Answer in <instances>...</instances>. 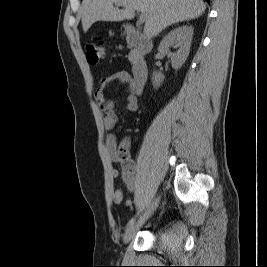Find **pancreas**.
<instances>
[{"label": "pancreas", "mask_w": 267, "mask_h": 267, "mask_svg": "<svg viewBox=\"0 0 267 267\" xmlns=\"http://www.w3.org/2000/svg\"><path fill=\"white\" fill-rule=\"evenodd\" d=\"M136 54H137V52L135 50H133V51L130 52V54H129V60L131 62H133L135 60Z\"/></svg>", "instance_id": "obj_1"}]
</instances>
